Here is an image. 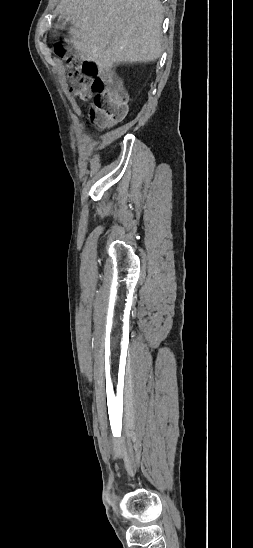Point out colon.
<instances>
[{"instance_id":"1","label":"colon","mask_w":253,"mask_h":548,"mask_svg":"<svg viewBox=\"0 0 253 548\" xmlns=\"http://www.w3.org/2000/svg\"><path fill=\"white\" fill-rule=\"evenodd\" d=\"M56 54L71 68L70 91L82 100L94 95L89 117L98 126L105 127L121 120L126 114L127 94L121 81L108 71L100 72L92 61L67 56L62 47Z\"/></svg>"}]
</instances>
